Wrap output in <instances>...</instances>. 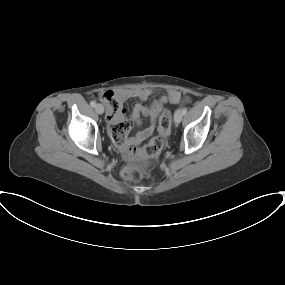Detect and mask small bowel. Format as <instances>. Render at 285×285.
I'll return each mask as SVG.
<instances>
[{"label": "small bowel", "instance_id": "c3829d8e", "mask_svg": "<svg viewBox=\"0 0 285 285\" xmlns=\"http://www.w3.org/2000/svg\"><path fill=\"white\" fill-rule=\"evenodd\" d=\"M115 96L120 102H124L130 98H137L141 101L147 100L152 95V90L148 88L134 89V90H119L116 92H107ZM104 95V94H103ZM183 100L181 93L177 90H169L165 95L154 100L150 106H145L142 104H136L130 113V119L136 123L140 124L141 117L145 116L150 119L151 124L139 131L135 136L126 139L125 143L121 146L126 149L131 145L141 143L148 139L154 132L155 123L159 113L162 111L163 107L170 104H178ZM103 101V100H102ZM106 118L110 125H114L118 122L124 121V112L120 110L117 113H111L107 111Z\"/></svg>", "mask_w": 285, "mask_h": 285}]
</instances>
